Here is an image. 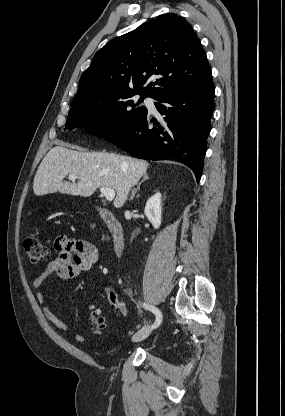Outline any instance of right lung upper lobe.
<instances>
[{"instance_id": "cb5924a9", "label": "right lung upper lobe", "mask_w": 285, "mask_h": 416, "mask_svg": "<svg viewBox=\"0 0 285 416\" xmlns=\"http://www.w3.org/2000/svg\"><path fill=\"white\" fill-rule=\"evenodd\" d=\"M155 76L159 79L143 87ZM210 76L206 54L191 25L168 13L100 49L80 78L70 111L137 94L159 100Z\"/></svg>"}]
</instances>
